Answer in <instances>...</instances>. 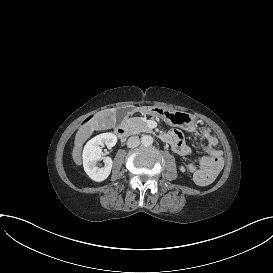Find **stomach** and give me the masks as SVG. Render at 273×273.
<instances>
[{"label": "stomach", "instance_id": "0dacf381", "mask_svg": "<svg viewBox=\"0 0 273 273\" xmlns=\"http://www.w3.org/2000/svg\"><path fill=\"white\" fill-rule=\"evenodd\" d=\"M141 111L144 114L161 118L172 127H179L188 132L196 130V117L190 113L179 110H169L162 106L142 107Z\"/></svg>", "mask_w": 273, "mask_h": 273}]
</instances>
